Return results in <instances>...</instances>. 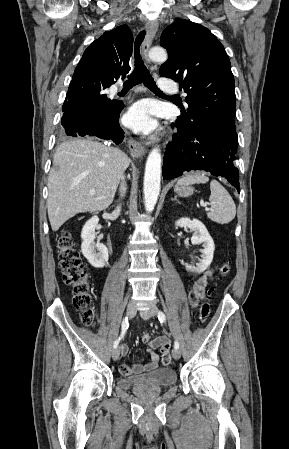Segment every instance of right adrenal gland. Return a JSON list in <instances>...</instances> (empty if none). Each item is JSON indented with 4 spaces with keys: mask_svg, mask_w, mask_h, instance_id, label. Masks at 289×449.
<instances>
[{
    "mask_svg": "<svg viewBox=\"0 0 289 449\" xmlns=\"http://www.w3.org/2000/svg\"><path fill=\"white\" fill-rule=\"evenodd\" d=\"M115 202H119V200H115Z\"/></svg>",
    "mask_w": 289,
    "mask_h": 449,
    "instance_id": "obj_1",
    "label": "right adrenal gland"
}]
</instances>
